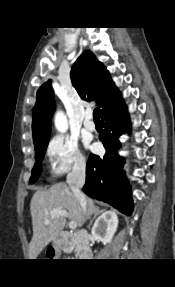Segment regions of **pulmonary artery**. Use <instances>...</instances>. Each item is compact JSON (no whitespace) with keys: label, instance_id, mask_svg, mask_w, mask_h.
<instances>
[{"label":"pulmonary artery","instance_id":"e3ab8cb5","mask_svg":"<svg viewBox=\"0 0 175 287\" xmlns=\"http://www.w3.org/2000/svg\"><path fill=\"white\" fill-rule=\"evenodd\" d=\"M84 127L89 131L95 130V123L92 120V112L88 111L85 115Z\"/></svg>","mask_w":175,"mask_h":287}]
</instances>
